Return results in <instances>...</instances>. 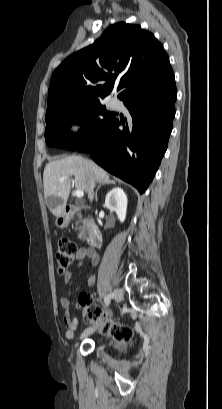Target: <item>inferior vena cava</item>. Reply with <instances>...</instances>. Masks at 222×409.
<instances>
[{
    "label": "inferior vena cava",
    "mask_w": 222,
    "mask_h": 409,
    "mask_svg": "<svg viewBox=\"0 0 222 409\" xmlns=\"http://www.w3.org/2000/svg\"><path fill=\"white\" fill-rule=\"evenodd\" d=\"M86 165L88 166V162L85 161ZM96 179L95 176L92 174L91 171H89V184H90V192L88 194V198L90 201L93 200L94 197V187H95Z\"/></svg>",
    "instance_id": "602c4592"
}]
</instances>
